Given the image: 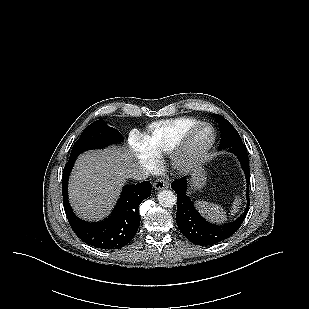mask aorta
Segmentation results:
<instances>
[{"instance_id": "762f6f07", "label": "aorta", "mask_w": 309, "mask_h": 309, "mask_svg": "<svg viewBox=\"0 0 309 309\" xmlns=\"http://www.w3.org/2000/svg\"><path fill=\"white\" fill-rule=\"evenodd\" d=\"M176 195L171 190H162L158 194V202L161 206L171 208L176 204Z\"/></svg>"}]
</instances>
